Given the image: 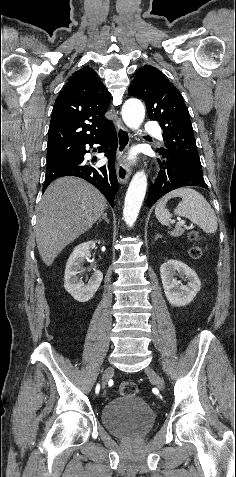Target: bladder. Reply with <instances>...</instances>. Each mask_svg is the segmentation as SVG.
Instances as JSON below:
<instances>
[{
  "instance_id": "31cf9c89",
  "label": "bladder",
  "mask_w": 236,
  "mask_h": 477,
  "mask_svg": "<svg viewBox=\"0 0 236 477\" xmlns=\"http://www.w3.org/2000/svg\"><path fill=\"white\" fill-rule=\"evenodd\" d=\"M102 423L111 434L139 439L153 428L156 416L152 408L136 395H119L101 409Z\"/></svg>"
}]
</instances>
